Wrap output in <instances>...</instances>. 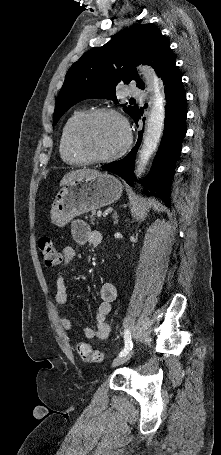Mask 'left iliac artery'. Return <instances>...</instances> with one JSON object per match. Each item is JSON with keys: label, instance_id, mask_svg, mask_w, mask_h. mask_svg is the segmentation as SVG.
<instances>
[{"label": "left iliac artery", "instance_id": "1", "mask_svg": "<svg viewBox=\"0 0 221 455\" xmlns=\"http://www.w3.org/2000/svg\"><path fill=\"white\" fill-rule=\"evenodd\" d=\"M124 340H125V347L119 353V356H123V355L127 354L130 350H132L133 343H132L131 334H130L129 330H125V332H124Z\"/></svg>", "mask_w": 221, "mask_h": 455}]
</instances>
